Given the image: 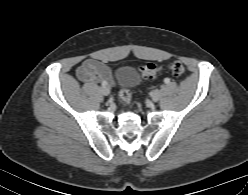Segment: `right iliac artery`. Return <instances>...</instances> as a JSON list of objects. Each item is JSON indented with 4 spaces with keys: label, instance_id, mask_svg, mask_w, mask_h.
Instances as JSON below:
<instances>
[{
    "label": "right iliac artery",
    "instance_id": "right-iliac-artery-1",
    "mask_svg": "<svg viewBox=\"0 0 248 195\" xmlns=\"http://www.w3.org/2000/svg\"><path fill=\"white\" fill-rule=\"evenodd\" d=\"M106 85H107V82L103 81L102 86H106Z\"/></svg>",
    "mask_w": 248,
    "mask_h": 195
}]
</instances>
